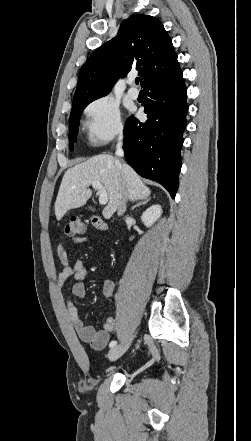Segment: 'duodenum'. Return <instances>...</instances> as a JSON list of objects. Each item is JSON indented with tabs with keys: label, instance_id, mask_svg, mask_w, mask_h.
Segmentation results:
<instances>
[{
	"label": "duodenum",
	"instance_id": "duodenum-1",
	"mask_svg": "<svg viewBox=\"0 0 251 441\" xmlns=\"http://www.w3.org/2000/svg\"><path fill=\"white\" fill-rule=\"evenodd\" d=\"M92 223L95 225V227H97L100 230H105L106 229V224L98 216H93L92 217Z\"/></svg>",
	"mask_w": 251,
	"mask_h": 441
}]
</instances>
